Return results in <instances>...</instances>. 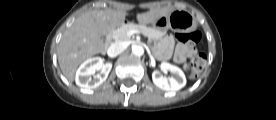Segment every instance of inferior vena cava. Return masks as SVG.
Wrapping results in <instances>:
<instances>
[{
  "instance_id": "602c4592",
  "label": "inferior vena cava",
  "mask_w": 276,
  "mask_h": 120,
  "mask_svg": "<svg viewBox=\"0 0 276 120\" xmlns=\"http://www.w3.org/2000/svg\"><path fill=\"white\" fill-rule=\"evenodd\" d=\"M126 47V44L123 42H115L108 48L107 54L109 57H116L122 53Z\"/></svg>"
}]
</instances>
